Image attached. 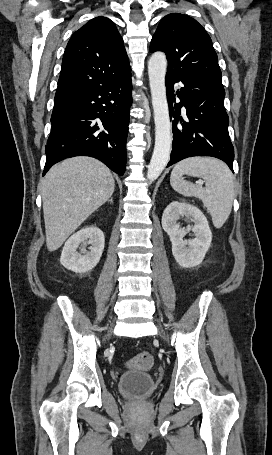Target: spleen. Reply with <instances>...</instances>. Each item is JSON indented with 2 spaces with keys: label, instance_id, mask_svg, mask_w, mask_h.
Returning a JSON list of instances; mask_svg holds the SVG:
<instances>
[{
  "label": "spleen",
  "instance_id": "obj_1",
  "mask_svg": "<svg viewBox=\"0 0 272 455\" xmlns=\"http://www.w3.org/2000/svg\"><path fill=\"white\" fill-rule=\"evenodd\" d=\"M203 178L206 187L184 180L183 176ZM172 188L186 197L200 199L216 228L228 219L234 198L233 176L228 166L210 157H191L177 163L170 176Z\"/></svg>",
  "mask_w": 272,
  "mask_h": 455
}]
</instances>
